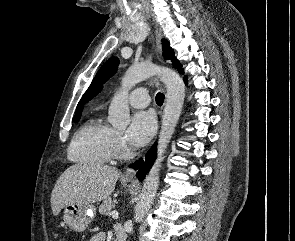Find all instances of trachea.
<instances>
[{"label": "trachea", "instance_id": "obj_1", "mask_svg": "<svg viewBox=\"0 0 295 241\" xmlns=\"http://www.w3.org/2000/svg\"><path fill=\"white\" fill-rule=\"evenodd\" d=\"M156 102L158 105H162L164 102V94L163 93H158L156 95Z\"/></svg>", "mask_w": 295, "mask_h": 241}]
</instances>
